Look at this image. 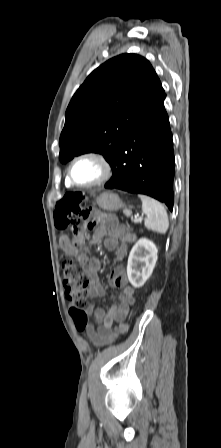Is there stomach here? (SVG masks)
I'll return each instance as SVG.
<instances>
[{"mask_svg":"<svg viewBox=\"0 0 221 448\" xmlns=\"http://www.w3.org/2000/svg\"><path fill=\"white\" fill-rule=\"evenodd\" d=\"M97 205L105 211H117L121 208L124 213H130V210L124 205L119 196L112 192H104L96 199Z\"/></svg>","mask_w":221,"mask_h":448,"instance_id":"1","label":"stomach"}]
</instances>
